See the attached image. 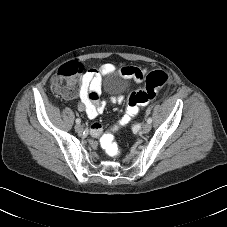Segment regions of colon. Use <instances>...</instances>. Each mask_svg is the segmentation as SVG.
Wrapping results in <instances>:
<instances>
[{
  "instance_id": "colon-1",
  "label": "colon",
  "mask_w": 227,
  "mask_h": 227,
  "mask_svg": "<svg viewBox=\"0 0 227 227\" xmlns=\"http://www.w3.org/2000/svg\"><path fill=\"white\" fill-rule=\"evenodd\" d=\"M82 72L83 68L79 63H67L53 80V90L58 94L73 97L76 93L79 77ZM124 74L136 79L142 76L139 69H131L125 71ZM169 81L170 76L164 70H156L148 73L145 77L144 87L129 95L125 113L119 121L120 125H127L138 114L139 108L149 103ZM91 98H98V92L94 89L91 91ZM100 144L105 153L110 157L117 156L122 150L112 134L102 135L100 137Z\"/></svg>"
}]
</instances>
